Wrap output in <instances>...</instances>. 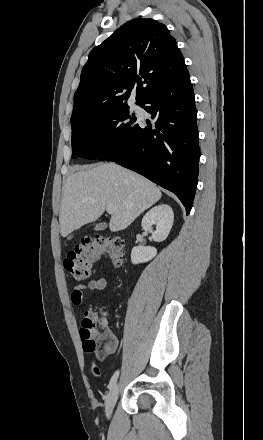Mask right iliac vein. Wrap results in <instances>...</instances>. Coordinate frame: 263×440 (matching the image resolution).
<instances>
[{"label": "right iliac vein", "mask_w": 263, "mask_h": 440, "mask_svg": "<svg viewBox=\"0 0 263 440\" xmlns=\"http://www.w3.org/2000/svg\"><path fill=\"white\" fill-rule=\"evenodd\" d=\"M118 394H119V384L115 383L113 385V387L111 388V390L107 396L106 402H105V412H106L107 418L111 417L114 405H115L116 400L118 398Z\"/></svg>", "instance_id": "right-iliac-vein-1"}]
</instances>
